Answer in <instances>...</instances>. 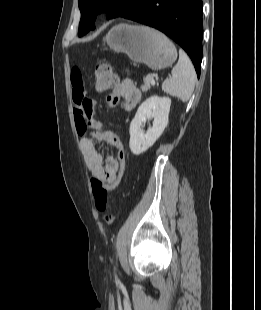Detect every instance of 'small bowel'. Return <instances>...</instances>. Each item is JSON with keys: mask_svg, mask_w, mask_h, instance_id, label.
<instances>
[{"mask_svg": "<svg viewBox=\"0 0 261 310\" xmlns=\"http://www.w3.org/2000/svg\"><path fill=\"white\" fill-rule=\"evenodd\" d=\"M72 100L74 104V118L79 135H85L88 127L94 129L81 140V148L86 164L95 178L111 183L115 180L119 164L117 158L109 156L105 162L98 150V141H107L113 145L114 140L120 139L112 132L106 130L103 124L93 116L95 101L90 99L84 89L83 79L78 67H74L71 74ZM123 100L124 109L133 110L141 100V91L130 79H116L111 92L106 97L110 107H116ZM121 142V141H120Z\"/></svg>", "mask_w": 261, "mask_h": 310, "instance_id": "c3829d8e", "label": "small bowel"}]
</instances>
